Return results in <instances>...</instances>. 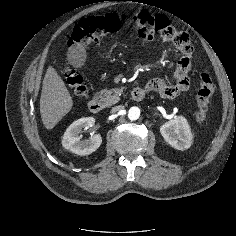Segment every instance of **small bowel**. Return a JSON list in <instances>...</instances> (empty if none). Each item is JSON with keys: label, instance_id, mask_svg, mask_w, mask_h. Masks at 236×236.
Wrapping results in <instances>:
<instances>
[{"label": "small bowel", "instance_id": "small-bowel-1", "mask_svg": "<svg viewBox=\"0 0 236 236\" xmlns=\"http://www.w3.org/2000/svg\"><path fill=\"white\" fill-rule=\"evenodd\" d=\"M179 42L174 43L181 51L182 55L178 61L174 74L170 77H161L150 80L146 84V89L150 92H157L164 97H171L182 92L177 88L178 82L186 81L187 90L189 87L188 73L192 66V44L190 39L183 33Z\"/></svg>", "mask_w": 236, "mask_h": 236}]
</instances>
